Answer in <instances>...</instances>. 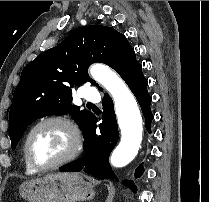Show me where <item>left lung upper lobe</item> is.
Wrapping results in <instances>:
<instances>
[{
    "mask_svg": "<svg viewBox=\"0 0 209 202\" xmlns=\"http://www.w3.org/2000/svg\"><path fill=\"white\" fill-rule=\"evenodd\" d=\"M95 62L107 64L122 78L139 64L123 34L112 27L90 25L73 30L24 67L9 112L12 150L33 121L48 115L69 113L85 134L95 115L71 105L72 87L90 81L102 91L88 76V67Z\"/></svg>",
    "mask_w": 209,
    "mask_h": 202,
    "instance_id": "5c2ea615",
    "label": "left lung upper lobe"
}]
</instances>
